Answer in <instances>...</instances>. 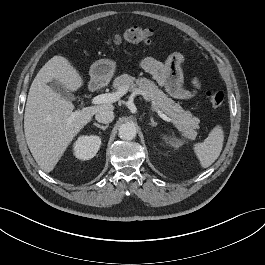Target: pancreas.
<instances>
[{
	"label": "pancreas",
	"instance_id": "1",
	"mask_svg": "<svg viewBox=\"0 0 265 265\" xmlns=\"http://www.w3.org/2000/svg\"><path fill=\"white\" fill-rule=\"evenodd\" d=\"M113 87L126 92L142 94L146 99L152 101L153 107L168 115L185 137L191 140L195 139L197 135L195 129L199 128L200 119L190 111L183 110L179 104L162 92L153 81L147 78L136 79L128 74H123L114 80Z\"/></svg>",
	"mask_w": 265,
	"mask_h": 265
}]
</instances>
